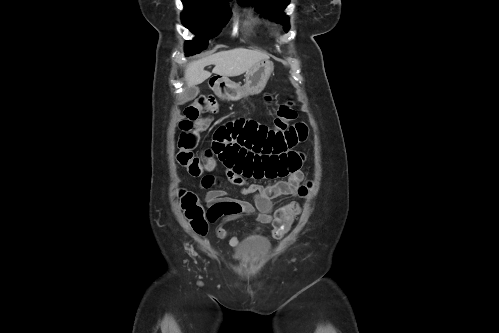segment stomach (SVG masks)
Here are the masks:
<instances>
[{
  "label": "stomach",
  "instance_id": "0dacf381",
  "mask_svg": "<svg viewBox=\"0 0 499 333\" xmlns=\"http://www.w3.org/2000/svg\"><path fill=\"white\" fill-rule=\"evenodd\" d=\"M273 70V63L269 60H263L246 72L243 86L226 77H221L214 83L213 90L219 98L228 101H238L249 95H257L265 88Z\"/></svg>",
  "mask_w": 499,
  "mask_h": 333
}]
</instances>
